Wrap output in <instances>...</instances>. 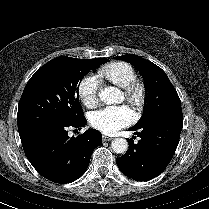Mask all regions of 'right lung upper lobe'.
I'll use <instances>...</instances> for the list:
<instances>
[{
	"mask_svg": "<svg viewBox=\"0 0 209 209\" xmlns=\"http://www.w3.org/2000/svg\"><path fill=\"white\" fill-rule=\"evenodd\" d=\"M92 63L96 64L97 67L100 66L101 64H104L108 61V59L105 58H97V59H89Z\"/></svg>",
	"mask_w": 209,
	"mask_h": 209,
	"instance_id": "cb5924a9",
	"label": "right lung upper lobe"
}]
</instances>
